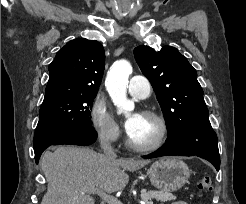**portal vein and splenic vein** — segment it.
Instances as JSON below:
<instances>
[{
	"mask_svg": "<svg viewBox=\"0 0 246 204\" xmlns=\"http://www.w3.org/2000/svg\"><path fill=\"white\" fill-rule=\"evenodd\" d=\"M93 192L98 194L108 204H123L120 200H118L117 198L113 197L110 194L105 193L104 191H99L97 189H94ZM143 204H153V202L146 201Z\"/></svg>",
	"mask_w": 246,
	"mask_h": 204,
	"instance_id": "18ae733b",
	"label": "portal vein and splenic vein"
}]
</instances>
